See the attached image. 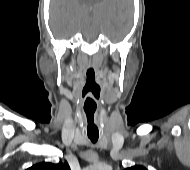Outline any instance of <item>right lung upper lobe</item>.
Listing matches in <instances>:
<instances>
[{"label": "right lung upper lobe", "mask_w": 190, "mask_h": 170, "mask_svg": "<svg viewBox=\"0 0 190 170\" xmlns=\"http://www.w3.org/2000/svg\"><path fill=\"white\" fill-rule=\"evenodd\" d=\"M27 170H70V167L67 162H59L57 164L43 162L35 164Z\"/></svg>", "instance_id": "1"}]
</instances>
